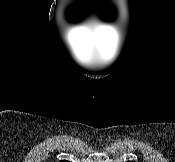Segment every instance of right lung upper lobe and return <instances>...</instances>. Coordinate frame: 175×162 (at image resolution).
<instances>
[{
	"label": "right lung upper lobe",
	"instance_id": "cb5924a9",
	"mask_svg": "<svg viewBox=\"0 0 175 162\" xmlns=\"http://www.w3.org/2000/svg\"><path fill=\"white\" fill-rule=\"evenodd\" d=\"M60 162H68V161H66V160H61Z\"/></svg>",
	"mask_w": 175,
	"mask_h": 162
}]
</instances>
